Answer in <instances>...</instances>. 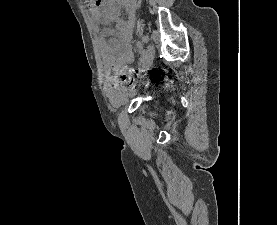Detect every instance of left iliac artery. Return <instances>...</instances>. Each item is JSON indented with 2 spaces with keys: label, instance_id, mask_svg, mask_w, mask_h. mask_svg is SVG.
I'll use <instances>...</instances> for the list:
<instances>
[{
  "label": "left iliac artery",
  "instance_id": "left-iliac-artery-1",
  "mask_svg": "<svg viewBox=\"0 0 277 225\" xmlns=\"http://www.w3.org/2000/svg\"><path fill=\"white\" fill-rule=\"evenodd\" d=\"M136 47H137L139 53L141 54V57H140V60H139V65L142 66L143 61H144V55H145V51L143 49V43L141 41H137L136 42Z\"/></svg>",
  "mask_w": 277,
  "mask_h": 225
}]
</instances>
